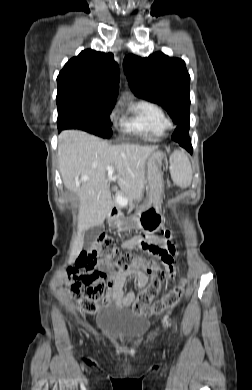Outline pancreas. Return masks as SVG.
Wrapping results in <instances>:
<instances>
[{
    "label": "pancreas",
    "mask_w": 252,
    "mask_h": 390,
    "mask_svg": "<svg viewBox=\"0 0 252 390\" xmlns=\"http://www.w3.org/2000/svg\"><path fill=\"white\" fill-rule=\"evenodd\" d=\"M126 196V195H125ZM118 197H121L122 198V196L120 195V194H118L117 195V197H116V203H117V205L118 206H120V204H119V202L117 201V199H118ZM123 205H126V202H123ZM128 207H127V210L128 211H131V210H135V211H138L139 210V205H140V202L139 201H132V202H128ZM136 205V206H135Z\"/></svg>",
    "instance_id": "1"
}]
</instances>
